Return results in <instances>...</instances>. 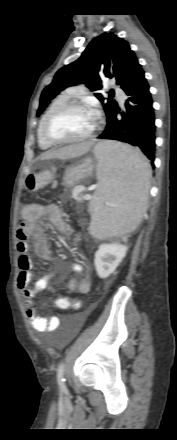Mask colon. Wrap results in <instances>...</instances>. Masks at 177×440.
Here are the masks:
<instances>
[{
    "label": "colon",
    "mask_w": 177,
    "mask_h": 440,
    "mask_svg": "<svg viewBox=\"0 0 177 440\" xmlns=\"http://www.w3.org/2000/svg\"><path fill=\"white\" fill-rule=\"evenodd\" d=\"M26 185L30 190H35L44 186H54V173L43 171L37 174H30L26 178ZM83 298H56L53 306L56 311H77L82 309Z\"/></svg>",
    "instance_id": "colon-1"
}]
</instances>
